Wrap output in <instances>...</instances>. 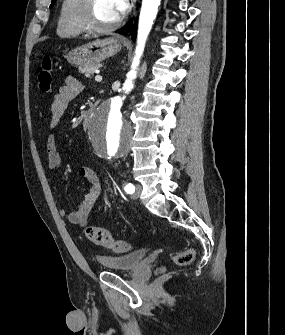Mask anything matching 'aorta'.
Instances as JSON below:
<instances>
[{
  "label": "aorta",
  "mask_w": 285,
  "mask_h": 335,
  "mask_svg": "<svg viewBox=\"0 0 285 335\" xmlns=\"http://www.w3.org/2000/svg\"><path fill=\"white\" fill-rule=\"evenodd\" d=\"M160 2L161 0H143L135 58H133L131 70L127 74L123 88L115 90L114 95H107V100H101V105H97V112H92L89 126L85 127V134H89L92 139L90 146L97 147L96 156H101V160H120V156H125V152H130L134 130H131L130 125H126L123 112L126 102H132L131 90L137 78L136 70H138Z\"/></svg>",
  "instance_id": "762f6f07"
}]
</instances>
